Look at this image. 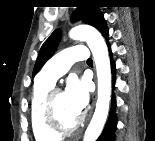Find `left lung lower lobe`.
I'll return each instance as SVG.
<instances>
[{"label":"left lung lower lobe","mask_w":155,"mask_h":141,"mask_svg":"<svg viewBox=\"0 0 155 141\" xmlns=\"http://www.w3.org/2000/svg\"><path fill=\"white\" fill-rule=\"evenodd\" d=\"M105 38H108V34L105 36ZM107 41H108V39H107ZM108 49H109V54L111 57V69H112V75H113L112 85L114 87V84H115L114 74H115L116 67H115V62L112 60V52H111L110 45H108ZM115 107H116V100H115V97L113 96L108 121L106 123V126H105L101 136L98 138L97 141H114V131H115L116 125H117Z\"/></svg>","instance_id":"obj_1"}]
</instances>
